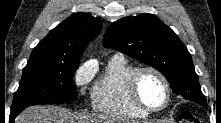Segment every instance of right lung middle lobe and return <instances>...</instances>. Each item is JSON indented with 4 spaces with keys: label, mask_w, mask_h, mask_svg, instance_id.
Masks as SVG:
<instances>
[{
    "label": "right lung middle lobe",
    "mask_w": 221,
    "mask_h": 123,
    "mask_svg": "<svg viewBox=\"0 0 221 123\" xmlns=\"http://www.w3.org/2000/svg\"><path fill=\"white\" fill-rule=\"evenodd\" d=\"M79 64V60L30 58L14 94L11 113H20L30 105L75 99L77 87L72 77Z\"/></svg>",
    "instance_id": "right-lung-middle-lobe-1"
}]
</instances>
